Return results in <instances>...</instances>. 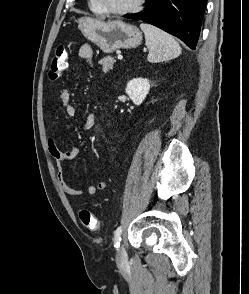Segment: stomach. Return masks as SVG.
I'll list each match as a JSON object with an SVG mask.
<instances>
[{"mask_svg":"<svg viewBox=\"0 0 249 294\" xmlns=\"http://www.w3.org/2000/svg\"><path fill=\"white\" fill-rule=\"evenodd\" d=\"M82 34L105 53L120 48H135L142 42V33L132 24L121 20L104 22L91 17L78 20Z\"/></svg>","mask_w":249,"mask_h":294,"instance_id":"0dacf381","label":"stomach"}]
</instances>
